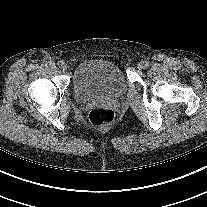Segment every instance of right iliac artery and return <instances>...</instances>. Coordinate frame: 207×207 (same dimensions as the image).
I'll use <instances>...</instances> for the list:
<instances>
[{
	"label": "right iliac artery",
	"instance_id": "82829eb1",
	"mask_svg": "<svg viewBox=\"0 0 207 207\" xmlns=\"http://www.w3.org/2000/svg\"><path fill=\"white\" fill-rule=\"evenodd\" d=\"M57 64H58L59 67H61L64 64V61L63 60H60V61H58Z\"/></svg>",
	"mask_w": 207,
	"mask_h": 207
}]
</instances>
